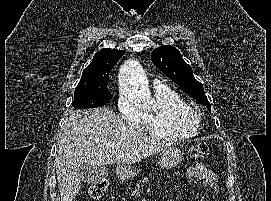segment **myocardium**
I'll use <instances>...</instances> for the list:
<instances>
[{"mask_svg":"<svg viewBox=\"0 0 271 201\" xmlns=\"http://www.w3.org/2000/svg\"><path fill=\"white\" fill-rule=\"evenodd\" d=\"M192 117L200 122V114L192 109Z\"/></svg>","mask_w":271,"mask_h":201,"instance_id":"f54148a6","label":"myocardium"}]
</instances>
